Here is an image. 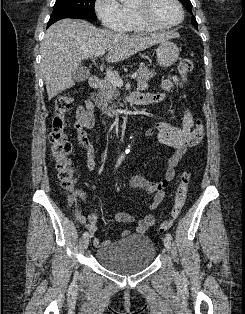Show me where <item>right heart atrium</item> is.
<instances>
[{
	"instance_id": "right-heart-atrium-1",
	"label": "right heart atrium",
	"mask_w": 245,
	"mask_h": 314,
	"mask_svg": "<svg viewBox=\"0 0 245 314\" xmlns=\"http://www.w3.org/2000/svg\"><path fill=\"white\" fill-rule=\"evenodd\" d=\"M94 9L106 28L114 31H121L124 28V6L118 0H95Z\"/></svg>"
}]
</instances>
